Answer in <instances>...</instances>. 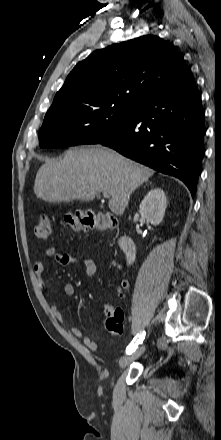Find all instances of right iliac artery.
<instances>
[{
  "mask_svg": "<svg viewBox=\"0 0 221 440\" xmlns=\"http://www.w3.org/2000/svg\"><path fill=\"white\" fill-rule=\"evenodd\" d=\"M145 335H146L145 331L143 333L137 334V336L133 339V341L127 347L126 353L127 354L133 353L137 349L138 345L143 342Z\"/></svg>",
  "mask_w": 221,
  "mask_h": 440,
  "instance_id": "1",
  "label": "right iliac artery"
}]
</instances>
